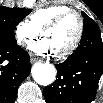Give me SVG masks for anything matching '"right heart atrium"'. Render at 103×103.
Returning a JSON list of instances; mask_svg holds the SVG:
<instances>
[{
    "mask_svg": "<svg viewBox=\"0 0 103 103\" xmlns=\"http://www.w3.org/2000/svg\"><path fill=\"white\" fill-rule=\"evenodd\" d=\"M39 34V30L36 29L30 22L21 20L14 29L15 40L18 45L24 47Z\"/></svg>",
    "mask_w": 103,
    "mask_h": 103,
    "instance_id": "1",
    "label": "right heart atrium"
}]
</instances>
